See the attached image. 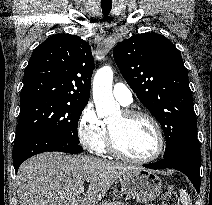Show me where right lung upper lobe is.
<instances>
[{
  "instance_id": "right-lung-upper-lobe-1",
  "label": "right lung upper lobe",
  "mask_w": 212,
  "mask_h": 205,
  "mask_svg": "<svg viewBox=\"0 0 212 205\" xmlns=\"http://www.w3.org/2000/svg\"><path fill=\"white\" fill-rule=\"evenodd\" d=\"M93 69L87 42L76 35H53L34 49L24 70L20 100L51 98L88 103Z\"/></svg>"
}]
</instances>
